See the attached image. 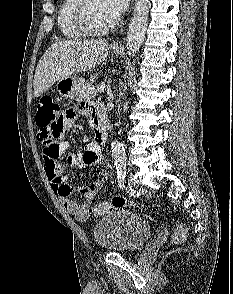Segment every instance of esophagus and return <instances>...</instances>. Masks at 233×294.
Here are the masks:
<instances>
[{
	"mask_svg": "<svg viewBox=\"0 0 233 294\" xmlns=\"http://www.w3.org/2000/svg\"><path fill=\"white\" fill-rule=\"evenodd\" d=\"M113 47H121L122 46V41L121 40H116L112 43Z\"/></svg>",
	"mask_w": 233,
	"mask_h": 294,
	"instance_id": "esophagus-1",
	"label": "esophagus"
}]
</instances>
